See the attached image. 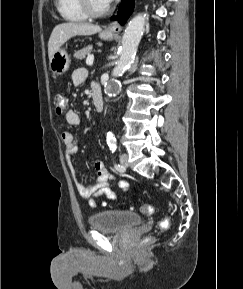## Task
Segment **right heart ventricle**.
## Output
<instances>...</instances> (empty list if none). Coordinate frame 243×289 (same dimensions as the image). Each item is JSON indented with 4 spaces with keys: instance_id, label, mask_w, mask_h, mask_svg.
<instances>
[{
    "instance_id": "e07e8e85",
    "label": "right heart ventricle",
    "mask_w": 243,
    "mask_h": 289,
    "mask_svg": "<svg viewBox=\"0 0 243 289\" xmlns=\"http://www.w3.org/2000/svg\"><path fill=\"white\" fill-rule=\"evenodd\" d=\"M56 8L61 17L67 21L81 22L88 18L82 10L79 0H57Z\"/></svg>"
}]
</instances>
